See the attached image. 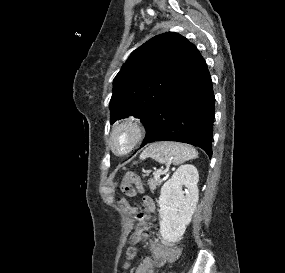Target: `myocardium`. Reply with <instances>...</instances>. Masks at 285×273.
Segmentation results:
<instances>
[{"instance_id": "obj_1", "label": "myocardium", "mask_w": 285, "mask_h": 273, "mask_svg": "<svg viewBox=\"0 0 285 273\" xmlns=\"http://www.w3.org/2000/svg\"><path fill=\"white\" fill-rule=\"evenodd\" d=\"M121 134L127 135V143L123 148H118L117 139ZM144 136V124L133 116H127L113 125L108 136V146L115 155L126 156L139 146Z\"/></svg>"}]
</instances>
